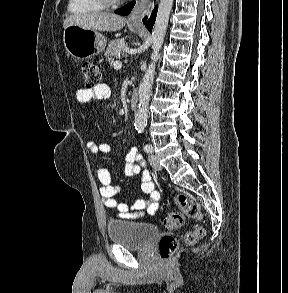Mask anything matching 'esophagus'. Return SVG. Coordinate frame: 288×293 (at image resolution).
Listing matches in <instances>:
<instances>
[{
    "label": "esophagus",
    "instance_id": "1",
    "mask_svg": "<svg viewBox=\"0 0 288 293\" xmlns=\"http://www.w3.org/2000/svg\"><path fill=\"white\" fill-rule=\"evenodd\" d=\"M150 0H138L136 6L128 16V22L133 25H141V16Z\"/></svg>",
    "mask_w": 288,
    "mask_h": 293
}]
</instances>
